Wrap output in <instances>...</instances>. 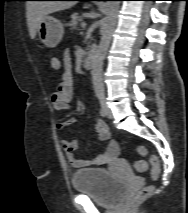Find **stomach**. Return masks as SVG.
<instances>
[{
  "mask_svg": "<svg viewBox=\"0 0 188 213\" xmlns=\"http://www.w3.org/2000/svg\"><path fill=\"white\" fill-rule=\"evenodd\" d=\"M39 40L47 47H56L63 38L64 27L60 20L46 16L37 29Z\"/></svg>",
  "mask_w": 188,
  "mask_h": 213,
  "instance_id": "stomach-1",
  "label": "stomach"
}]
</instances>
